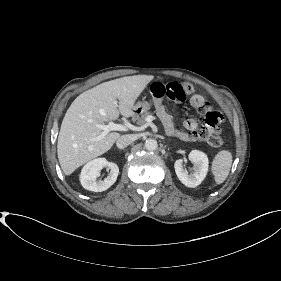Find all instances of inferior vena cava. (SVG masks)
<instances>
[{
  "instance_id": "602c4592",
  "label": "inferior vena cava",
  "mask_w": 281,
  "mask_h": 281,
  "mask_svg": "<svg viewBox=\"0 0 281 281\" xmlns=\"http://www.w3.org/2000/svg\"><path fill=\"white\" fill-rule=\"evenodd\" d=\"M134 141V137L132 135H122L116 140V146L119 149H123L130 145Z\"/></svg>"
}]
</instances>
